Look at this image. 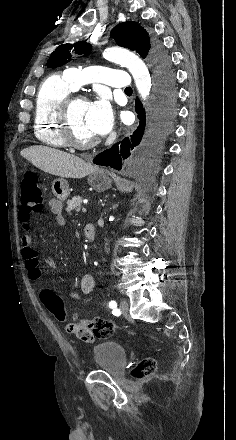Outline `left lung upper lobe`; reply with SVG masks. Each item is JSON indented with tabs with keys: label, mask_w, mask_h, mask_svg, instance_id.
<instances>
[{
	"label": "left lung upper lobe",
	"mask_w": 236,
	"mask_h": 440,
	"mask_svg": "<svg viewBox=\"0 0 236 440\" xmlns=\"http://www.w3.org/2000/svg\"><path fill=\"white\" fill-rule=\"evenodd\" d=\"M111 34L119 46L138 53L142 58L148 57L153 62L158 60L162 63H170L158 40L149 35L137 22L128 21L118 24ZM71 50L77 54H87L91 50V45L87 42L60 45L51 54L47 67H60L69 62L72 57Z\"/></svg>",
	"instance_id": "left-lung-upper-lobe-1"
}]
</instances>
